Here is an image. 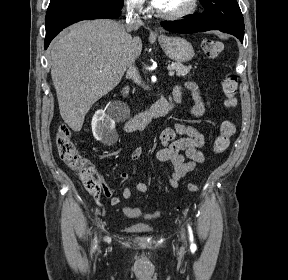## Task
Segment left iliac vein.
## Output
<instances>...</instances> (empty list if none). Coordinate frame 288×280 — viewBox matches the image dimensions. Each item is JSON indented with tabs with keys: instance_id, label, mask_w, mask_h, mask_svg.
I'll return each mask as SVG.
<instances>
[{
	"instance_id": "left-iliac-vein-1",
	"label": "left iliac vein",
	"mask_w": 288,
	"mask_h": 280,
	"mask_svg": "<svg viewBox=\"0 0 288 280\" xmlns=\"http://www.w3.org/2000/svg\"><path fill=\"white\" fill-rule=\"evenodd\" d=\"M181 237L183 240H185V231L184 230H182V232H181Z\"/></svg>"
}]
</instances>
